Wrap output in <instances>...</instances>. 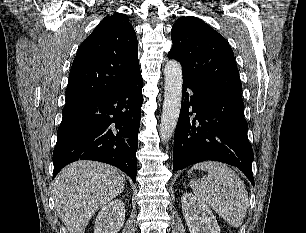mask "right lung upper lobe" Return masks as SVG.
I'll return each instance as SVG.
<instances>
[{
	"instance_id": "obj_1",
	"label": "right lung upper lobe",
	"mask_w": 306,
	"mask_h": 233,
	"mask_svg": "<svg viewBox=\"0 0 306 233\" xmlns=\"http://www.w3.org/2000/svg\"><path fill=\"white\" fill-rule=\"evenodd\" d=\"M140 73L138 43L125 14L105 17L79 47L66 91V107L103 98Z\"/></svg>"
}]
</instances>
